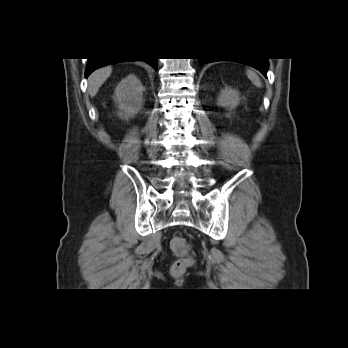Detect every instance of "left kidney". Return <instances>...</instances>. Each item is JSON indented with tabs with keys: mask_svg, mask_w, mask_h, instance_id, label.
I'll return each instance as SVG.
<instances>
[{
	"mask_svg": "<svg viewBox=\"0 0 348 348\" xmlns=\"http://www.w3.org/2000/svg\"><path fill=\"white\" fill-rule=\"evenodd\" d=\"M240 103L239 92L235 89L225 88L218 96V104L229 111L235 109Z\"/></svg>",
	"mask_w": 348,
	"mask_h": 348,
	"instance_id": "1",
	"label": "left kidney"
}]
</instances>
